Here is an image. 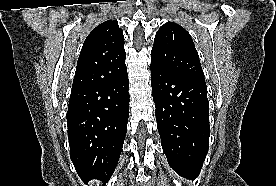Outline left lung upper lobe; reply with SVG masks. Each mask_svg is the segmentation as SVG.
Instances as JSON below:
<instances>
[{"mask_svg":"<svg viewBox=\"0 0 276 186\" xmlns=\"http://www.w3.org/2000/svg\"><path fill=\"white\" fill-rule=\"evenodd\" d=\"M151 64L205 82L198 53L190 34L180 25L165 23L156 33Z\"/></svg>","mask_w":276,"mask_h":186,"instance_id":"1","label":"left lung upper lobe"}]
</instances>
